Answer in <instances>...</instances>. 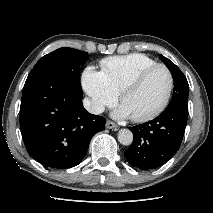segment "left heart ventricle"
<instances>
[{"instance_id": "b2bd125f", "label": "left heart ventricle", "mask_w": 213, "mask_h": 213, "mask_svg": "<svg viewBox=\"0 0 213 213\" xmlns=\"http://www.w3.org/2000/svg\"><path fill=\"white\" fill-rule=\"evenodd\" d=\"M168 83L169 78L165 70H154L136 88L125 95L122 106L130 116L146 114L162 101Z\"/></svg>"}]
</instances>
